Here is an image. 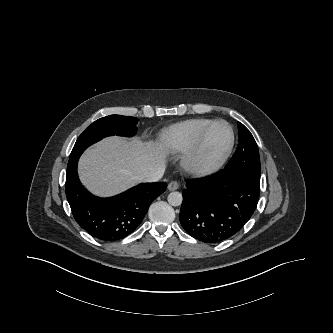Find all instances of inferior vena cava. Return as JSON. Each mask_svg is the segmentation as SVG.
<instances>
[{"label":"inferior vena cava","instance_id":"602c4592","mask_svg":"<svg viewBox=\"0 0 333 333\" xmlns=\"http://www.w3.org/2000/svg\"><path fill=\"white\" fill-rule=\"evenodd\" d=\"M163 174H164V168L155 167L148 170L141 176H139L138 179L144 182H156L162 178Z\"/></svg>","mask_w":333,"mask_h":333}]
</instances>
